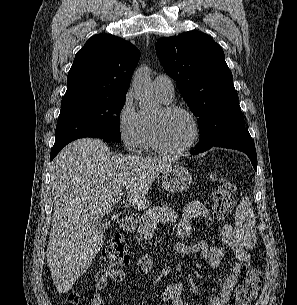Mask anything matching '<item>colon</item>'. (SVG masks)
I'll return each instance as SVG.
<instances>
[{
    "instance_id": "colon-1",
    "label": "colon",
    "mask_w": 297,
    "mask_h": 305,
    "mask_svg": "<svg viewBox=\"0 0 297 305\" xmlns=\"http://www.w3.org/2000/svg\"><path fill=\"white\" fill-rule=\"evenodd\" d=\"M217 187L213 193L212 214L215 219L223 220L235 204L236 187L230 177L221 175L216 178ZM127 262L126 240L122 233L113 234L101 258V271L111 272ZM262 285V274L255 266L247 268L246 277L237 287L228 305H251ZM67 305H83L78 294L71 293Z\"/></svg>"
}]
</instances>
